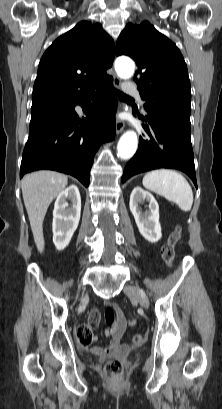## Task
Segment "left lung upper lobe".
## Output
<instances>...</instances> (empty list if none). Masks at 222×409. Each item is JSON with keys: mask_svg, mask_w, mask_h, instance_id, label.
Wrapping results in <instances>:
<instances>
[{"mask_svg": "<svg viewBox=\"0 0 222 409\" xmlns=\"http://www.w3.org/2000/svg\"><path fill=\"white\" fill-rule=\"evenodd\" d=\"M116 55H128L138 65L134 81L146 100L145 110L178 104L190 114V80L184 58L148 21L126 25L117 40Z\"/></svg>", "mask_w": 222, "mask_h": 409, "instance_id": "left-lung-upper-lobe-1", "label": "left lung upper lobe"}]
</instances>
